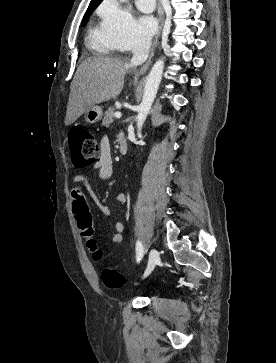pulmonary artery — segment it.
I'll return each mask as SVG.
<instances>
[{
  "label": "pulmonary artery",
  "instance_id": "pulmonary-artery-1",
  "mask_svg": "<svg viewBox=\"0 0 276 363\" xmlns=\"http://www.w3.org/2000/svg\"><path fill=\"white\" fill-rule=\"evenodd\" d=\"M136 5L143 12H152L155 8V0H136Z\"/></svg>",
  "mask_w": 276,
  "mask_h": 363
}]
</instances>
